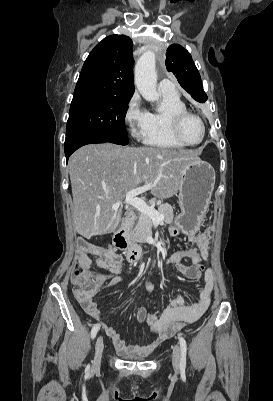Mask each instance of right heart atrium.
I'll return each instance as SVG.
<instances>
[{
    "label": "right heart atrium",
    "mask_w": 273,
    "mask_h": 401,
    "mask_svg": "<svg viewBox=\"0 0 273 401\" xmlns=\"http://www.w3.org/2000/svg\"><path fill=\"white\" fill-rule=\"evenodd\" d=\"M148 110L143 106L139 95H133L125 112V121L130 135L140 141L147 132Z\"/></svg>",
    "instance_id": "right-heart-atrium-1"
}]
</instances>
